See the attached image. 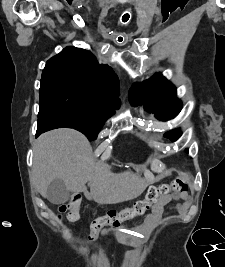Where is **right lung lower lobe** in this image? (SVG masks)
<instances>
[{
  "mask_svg": "<svg viewBox=\"0 0 225 267\" xmlns=\"http://www.w3.org/2000/svg\"><path fill=\"white\" fill-rule=\"evenodd\" d=\"M56 128H72L60 115L50 109H39L36 137Z\"/></svg>",
  "mask_w": 225,
  "mask_h": 267,
  "instance_id": "right-lung-lower-lobe-1",
  "label": "right lung lower lobe"
}]
</instances>
